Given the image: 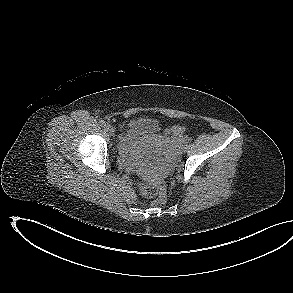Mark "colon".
Returning <instances> with one entry per match:
<instances>
[{
  "label": "colon",
  "mask_w": 293,
  "mask_h": 293,
  "mask_svg": "<svg viewBox=\"0 0 293 293\" xmlns=\"http://www.w3.org/2000/svg\"><path fill=\"white\" fill-rule=\"evenodd\" d=\"M184 131L182 126H175L171 129L172 134L180 135ZM144 196L152 198L156 197L155 204H163L167 199V189L163 183L146 185L142 189Z\"/></svg>",
  "instance_id": "5ec220e1"
}]
</instances>
